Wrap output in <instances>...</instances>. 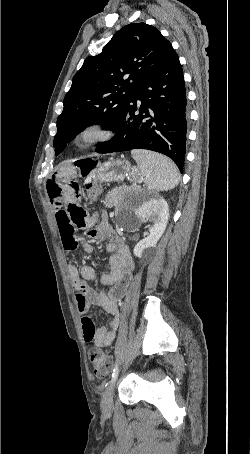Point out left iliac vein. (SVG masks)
<instances>
[{
  "instance_id": "left-iliac-vein-1",
  "label": "left iliac vein",
  "mask_w": 250,
  "mask_h": 454,
  "mask_svg": "<svg viewBox=\"0 0 250 454\" xmlns=\"http://www.w3.org/2000/svg\"><path fill=\"white\" fill-rule=\"evenodd\" d=\"M116 380H113L105 389L102 401H101V408L102 411L106 414H109L113 410V393L116 385Z\"/></svg>"
}]
</instances>
